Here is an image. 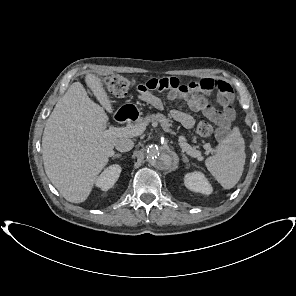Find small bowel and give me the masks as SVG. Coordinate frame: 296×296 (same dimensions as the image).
<instances>
[{"label": "small bowel", "mask_w": 296, "mask_h": 296, "mask_svg": "<svg viewBox=\"0 0 296 296\" xmlns=\"http://www.w3.org/2000/svg\"><path fill=\"white\" fill-rule=\"evenodd\" d=\"M154 90L167 91L168 98L174 102H185L192 111H203L206 115L209 110L207 96L216 91L218 102L222 108L216 117H210L218 125L217 134L223 137L229 130L230 124L234 119L233 90L229 83L219 79L204 78L200 81H193L187 84L181 83L177 78L166 77L161 79L151 78L139 84L137 91L140 98L160 109L161 100L153 94ZM171 116L185 128H192L195 119L186 112L172 110Z\"/></svg>", "instance_id": "c3829d8e"}]
</instances>
